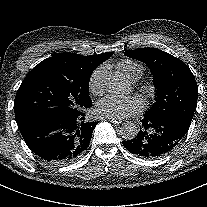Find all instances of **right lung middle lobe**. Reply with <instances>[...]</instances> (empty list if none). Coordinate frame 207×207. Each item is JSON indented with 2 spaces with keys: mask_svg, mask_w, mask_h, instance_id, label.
Segmentation results:
<instances>
[{
  "mask_svg": "<svg viewBox=\"0 0 207 207\" xmlns=\"http://www.w3.org/2000/svg\"><path fill=\"white\" fill-rule=\"evenodd\" d=\"M89 81L58 71L31 70L14 100L17 124L39 117H78L92 105Z\"/></svg>",
  "mask_w": 207,
  "mask_h": 207,
  "instance_id": "dd1d6c3e",
  "label": "right lung middle lobe"
}]
</instances>
